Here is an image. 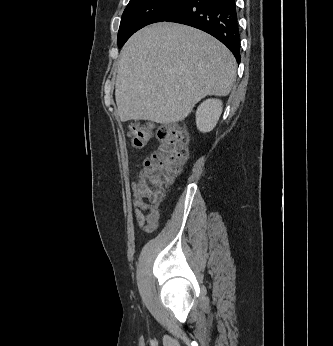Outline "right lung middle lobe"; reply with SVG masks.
Segmentation results:
<instances>
[{
    "label": "right lung middle lobe",
    "instance_id": "right-lung-middle-lobe-1",
    "mask_svg": "<svg viewBox=\"0 0 333 346\" xmlns=\"http://www.w3.org/2000/svg\"><path fill=\"white\" fill-rule=\"evenodd\" d=\"M184 0H130L122 15L117 43L122 47L128 38L146 25L164 21Z\"/></svg>",
    "mask_w": 333,
    "mask_h": 346
}]
</instances>
